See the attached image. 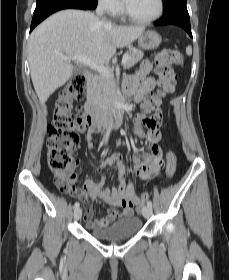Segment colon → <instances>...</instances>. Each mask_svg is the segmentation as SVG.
Listing matches in <instances>:
<instances>
[{
  "instance_id": "colon-1",
  "label": "colon",
  "mask_w": 229,
  "mask_h": 280,
  "mask_svg": "<svg viewBox=\"0 0 229 280\" xmlns=\"http://www.w3.org/2000/svg\"><path fill=\"white\" fill-rule=\"evenodd\" d=\"M183 62L182 54L173 49H163L155 57V72L159 82L172 90V83L176 79L173 71V64ZM86 79L82 75H77L62 87L54 99L53 120L48 127L47 138V164L54 173L55 184L63 191L74 190L71 184L68 169L74 163L72 151L75 143L79 139V133H82L89 126L81 115L73 112V102L81 101L84 98ZM147 104L153 103V96L146 99ZM139 124L152 129L161 123L158 115L145 117L138 116ZM161 164L160 159L154 160L149 169L153 170ZM177 170V161L174 153L167 154V164L165 175L168 179L172 178ZM148 200V195L144 194L140 199L132 198L126 201V204L141 209Z\"/></svg>"
}]
</instances>
